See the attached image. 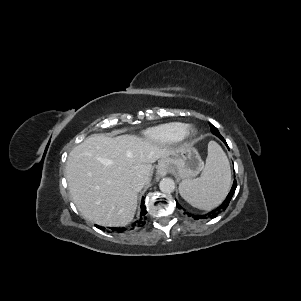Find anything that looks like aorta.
I'll return each instance as SVG.
<instances>
[{"instance_id":"762f6f07","label":"aorta","mask_w":301,"mask_h":301,"mask_svg":"<svg viewBox=\"0 0 301 301\" xmlns=\"http://www.w3.org/2000/svg\"><path fill=\"white\" fill-rule=\"evenodd\" d=\"M159 188L163 193H172L175 190V182L171 178H163L159 183Z\"/></svg>"}]
</instances>
